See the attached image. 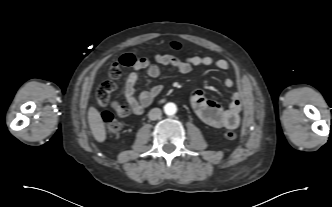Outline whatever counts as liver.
Instances as JSON below:
<instances>
[{"label":"liver","instance_id":"obj_1","mask_svg":"<svg viewBox=\"0 0 332 207\" xmlns=\"http://www.w3.org/2000/svg\"><path fill=\"white\" fill-rule=\"evenodd\" d=\"M88 123L95 140L100 143L104 142L106 139L105 125L100 112L92 106L88 110Z\"/></svg>","mask_w":332,"mask_h":207}]
</instances>
